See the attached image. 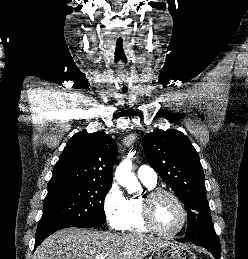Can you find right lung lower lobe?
<instances>
[{
    "instance_id": "1",
    "label": "right lung lower lobe",
    "mask_w": 248,
    "mask_h": 259,
    "mask_svg": "<svg viewBox=\"0 0 248 259\" xmlns=\"http://www.w3.org/2000/svg\"><path fill=\"white\" fill-rule=\"evenodd\" d=\"M68 227H72V226L66 225V224H54V225L38 228L36 232V238H35V248L38 247L42 243V241L53 232L63 228H68Z\"/></svg>"
}]
</instances>
